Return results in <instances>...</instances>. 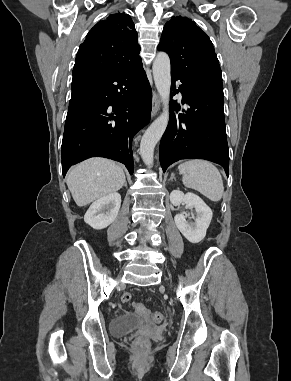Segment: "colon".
I'll list each match as a JSON object with an SVG mask.
<instances>
[{
  "instance_id": "obj_1",
  "label": "colon",
  "mask_w": 291,
  "mask_h": 381,
  "mask_svg": "<svg viewBox=\"0 0 291 381\" xmlns=\"http://www.w3.org/2000/svg\"><path fill=\"white\" fill-rule=\"evenodd\" d=\"M121 300L124 303H129L131 301V294L124 293L121 297ZM133 307L140 316L149 318L156 323H161L164 320V314L162 312H152L142 303L135 302ZM134 345L138 351H142L148 347V342L144 339L137 338L134 342Z\"/></svg>"
}]
</instances>
